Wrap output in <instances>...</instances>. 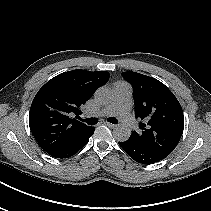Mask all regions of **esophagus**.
<instances>
[{"instance_id": "1", "label": "esophagus", "mask_w": 211, "mask_h": 211, "mask_svg": "<svg viewBox=\"0 0 211 211\" xmlns=\"http://www.w3.org/2000/svg\"><path fill=\"white\" fill-rule=\"evenodd\" d=\"M104 124L107 125L110 128H115L116 127V125H114L112 123H109V122H104Z\"/></svg>"}]
</instances>
